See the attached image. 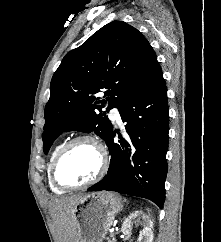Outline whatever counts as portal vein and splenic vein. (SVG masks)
<instances>
[{
    "label": "portal vein and splenic vein",
    "instance_id": "18ae733b",
    "mask_svg": "<svg viewBox=\"0 0 221 242\" xmlns=\"http://www.w3.org/2000/svg\"><path fill=\"white\" fill-rule=\"evenodd\" d=\"M110 236H114V228H112L111 230H110Z\"/></svg>",
    "mask_w": 221,
    "mask_h": 242
}]
</instances>
